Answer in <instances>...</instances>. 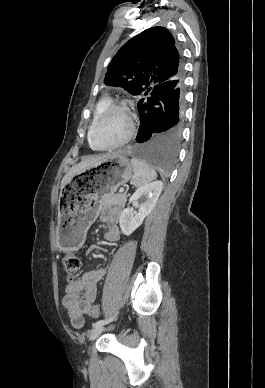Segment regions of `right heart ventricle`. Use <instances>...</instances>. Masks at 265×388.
I'll use <instances>...</instances> for the list:
<instances>
[{"label": "right heart ventricle", "mask_w": 265, "mask_h": 388, "mask_svg": "<svg viewBox=\"0 0 265 388\" xmlns=\"http://www.w3.org/2000/svg\"><path fill=\"white\" fill-rule=\"evenodd\" d=\"M110 103H111V99L108 98V97H105L104 99H102V100L98 103V105L96 106L95 111H94L93 122H94L95 118L98 116V114L102 111V109H103L104 107H106V106H107L108 104H110ZM92 124H93V123H92ZM92 124L89 126L88 135H87V136H88V142H89V144H90L93 148H95V146H94L93 143H92L91 136H90Z\"/></svg>", "instance_id": "obj_1"}]
</instances>
